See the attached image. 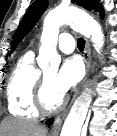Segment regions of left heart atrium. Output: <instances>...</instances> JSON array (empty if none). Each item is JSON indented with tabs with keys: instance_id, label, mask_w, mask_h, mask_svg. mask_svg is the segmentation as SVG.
<instances>
[{
	"instance_id": "obj_1",
	"label": "left heart atrium",
	"mask_w": 117,
	"mask_h": 136,
	"mask_svg": "<svg viewBox=\"0 0 117 136\" xmlns=\"http://www.w3.org/2000/svg\"><path fill=\"white\" fill-rule=\"evenodd\" d=\"M83 76V68L76 58H67L61 64L54 80V88L64 96L75 87Z\"/></svg>"
}]
</instances>
